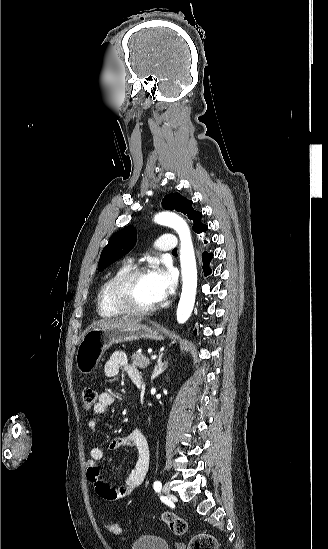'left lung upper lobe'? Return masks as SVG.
Returning a JSON list of instances; mask_svg holds the SVG:
<instances>
[{
    "label": "left lung upper lobe",
    "instance_id": "left-lung-upper-lobe-1",
    "mask_svg": "<svg viewBox=\"0 0 328 549\" xmlns=\"http://www.w3.org/2000/svg\"><path fill=\"white\" fill-rule=\"evenodd\" d=\"M192 204V201L181 196L179 193L166 195L162 200L164 209L176 210L193 220V230L196 233L206 232L208 226L201 222L202 213L195 211ZM135 243L136 234L132 226H127L113 234L101 253L98 270L105 269L128 253L134 247Z\"/></svg>",
    "mask_w": 328,
    "mask_h": 549
}]
</instances>
